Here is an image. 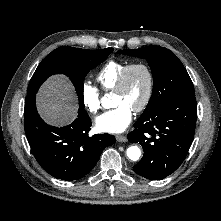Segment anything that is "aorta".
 Wrapping results in <instances>:
<instances>
[{"label":"aorta","instance_id":"obj_1","mask_svg":"<svg viewBox=\"0 0 221 221\" xmlns=\"http://www.w3.org/2000/svg\"><path fill=\"white\" fill-rule=\"evenodd\" d=\"M101 102H102L103 107L105 108H108L110 105V101L106 97H104ZM126 155L130 160L137 161L139 160L141 156V150L138 146H131L127 149Z\"/></svg>","mask_w":221,"mask_h":221}]
</instances>
